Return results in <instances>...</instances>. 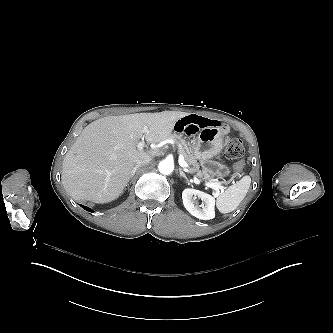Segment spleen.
<instances>
[{"label": "spleen", "mask_w": 333, "mask_h": 333, "mask_svg": "<svg viewBox=\"0 0 333 333\" xmlns=\"http://www.w3.org/2000/svg\"><path fill=\"white\" fill-rule=\"evenodd\" d=\"M250 184L251 178L245 176L237 183L230 185L216 198L217 210L222 214L234 211L246 197Z\"/></svg>", "instance_id": "spleen-1"}]
</instances>
